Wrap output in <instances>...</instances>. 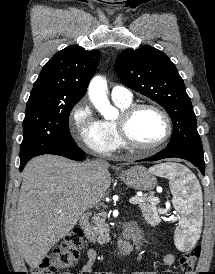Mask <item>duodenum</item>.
<instances>
[{"mask_svg": "<svg viewBox=\"0 0 215 274\" xmlns=\"http://www.w3.org/2000/svg\"><path fill=\"white\" fill-rule=\"evenodd\" d=\"M89 215L83 214L79 219V227L85 233L88 227ZM132 250V244L129 239L124 238L118 245L115 247L114 256L117 259H125Z\"/></svg>", "mask_w": 215, "mask_h": 274, "instance_id": "duodenum-1", "label": "duodenum"}]
</instances>
